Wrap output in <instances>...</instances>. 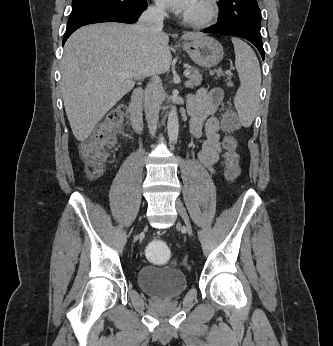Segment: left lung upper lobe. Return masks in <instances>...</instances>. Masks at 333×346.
<instances>
[{
	"mask_svg": "<svg viewBox=\"0 0 333 346\" xmlns=\"http://www.w3.org/2000/svg\"><path fill=\"white\" fill-rule=\"evenodd\" d=\"M218 22L240 24L260 34L261 12L256 0H220Z\"/></svg>",
	"mask_w": 333,
	"mask_h": 346,
	"instance_id": "1",
	"label": "left lung upper lobe"
}]
</instances>
